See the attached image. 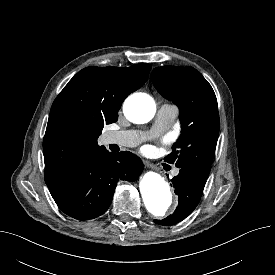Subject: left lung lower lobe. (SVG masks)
Returning a JSON list of instances; mask_svg holds the SVG:
<instances>
[{
  "mask_svg": "<svg viewBox=\"0 0 275 275\" xmlns=\"http://www.w3.org/2000/svg\"><path fill=\"white\" fill-rule=\"evenodd\" d=\"M208 175L209 173L198 167L186 166L180 168L179 174L171 180L175 193L179 197L177 209L167 218L154 220V222L171 226L190 215L201 199Z\"/></svg>",
  "mask_w": 275,
  "mask_h": 275,
  "instance_id": "0a47b994",
  "label": "left lung lower lobe"
}]
</instances>
